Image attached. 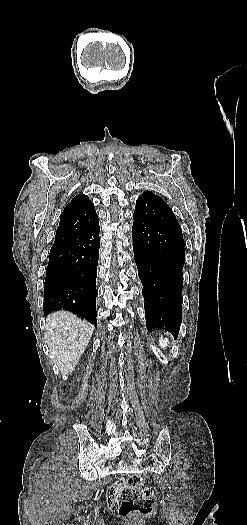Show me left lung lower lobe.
<instances>
[{
    "label": "left lung lower lobe",
    "mask_w": 247,
    "mask_h": 525,
    "mask_svg": "<svg viewBox=\"0 0 247 525\" xmlns=\"http://www.w3.org/2000/svg\"><path fill=\"white\" fill-rule=\"evenodd\" d=\"M132 234L147 329H163L177 336L182 321L185 262L182 233L159 222L134 217Z\"/></svg>",
    "instance_id": "0a47b994"
}]
</instances>
